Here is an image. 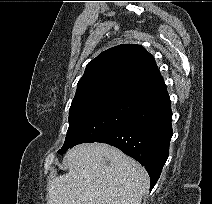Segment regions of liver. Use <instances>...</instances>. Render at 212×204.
<instances>
[{
	"label": "liver",
	"instance_id": "6515ba94",
	"mask_svg": "<svg viewBox=\"0 0 212 204\" xmlns=\"http://www.w3.org/2000/svg\"><path fill=\"white\" fill-rule=\"evenodd\" d=\"M63 162L69 172L50 181L47 204H141L149 188L146 170L108 144L77 145Z\"/></svg>",
	"mask_w": 212,
	"mask_h": 204
}]
</instances>
